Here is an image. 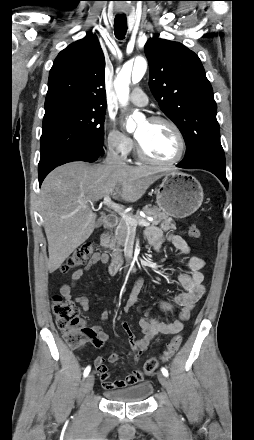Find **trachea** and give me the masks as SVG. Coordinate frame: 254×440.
I'll return each instance as SVG.
<instances>
[{"mask_svg":"<svg viewBox=\"0 0 254 440\" xmlns=\"http://www.w3.org/2000/svg\"><path fill=\"white\" fill-rule=\"evenodd\" d=\"M114 31L117 39L122 40L127 31V19L125 16H116L114 19Z\"/></svg>","mask_w":254,"mask_h":440,"instance_id":"1","label":"trachea"}]
</instances>
